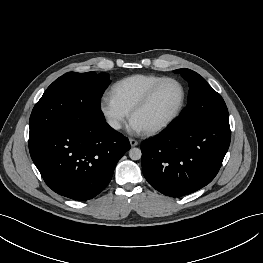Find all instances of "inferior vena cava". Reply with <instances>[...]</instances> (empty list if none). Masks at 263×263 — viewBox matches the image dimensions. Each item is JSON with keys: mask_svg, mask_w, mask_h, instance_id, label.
<instances>
[{"mask_svg": "<svg viewBox=\"0 0 263 263\" xmlns=\"http://www.w3.org/2000/svg\"><path fill=\"white\" fill-rule=\"evenodd\" d=\"M109 125L116 130L121 128V124L117 120H110Z\"/></svg>", "mask_w": 263, "mask_h": 263, "instance_id": "602c4592", "label": "inferior vena cava"}]
</instances>
